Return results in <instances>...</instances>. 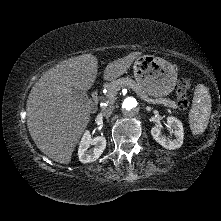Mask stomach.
Listing matches in <instances>:
<instances>
[{"instance_id": "1", "label": "stomach", "mask_w": 221, "mask_h": 221, "mask_svg": "<svg viewBox=\"0 0 221 221\" xmlns=\"http://www.w3.org/2000/svg\"><path fill=\"white\" fill-rule=\"evenodd\" d=\"M133 72L136 83L152 97L167 96L176 85L175 67L170 62L154 55L137 57Z\"/></svg>"}]
</instances>
